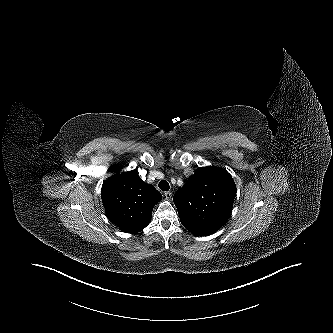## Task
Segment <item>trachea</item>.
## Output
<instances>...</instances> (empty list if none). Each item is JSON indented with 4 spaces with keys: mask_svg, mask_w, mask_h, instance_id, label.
Here are the masks:
<instances>
[{
    "mask_svg": "<svg viewBox=\"0 0 333 333\" xmlns=\"http://www.w3.org/2000/svg\"><path fill=\"white\" fill-rule=\"evenodd\" d=\"M159 188L162 191H168L170 189L169 183L166 180H161L159 182Z\"/></svg>",
    "mask_w": 333,
    "mask_h": 333,
    "instance_id": "3493384b",
    "label": "trachea"
}]
</instances>
